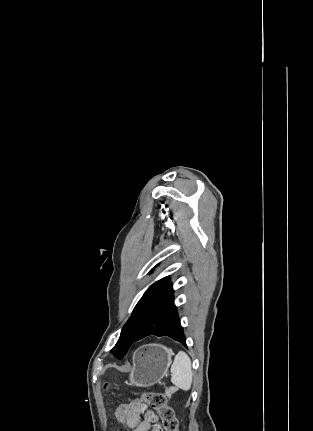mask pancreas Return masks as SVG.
<instances>
[{
	"mask_svg": "<svg viewBox=\"0 0 313 431\" xmlns=\"http://www.w3.org/2000/svg\"><path fill=\"white\" fill-rule=\"evenodd\" d=\"M176 391V389L175 388H166V390H165V395L167 396V397H170L174 392Z\"/></svg>",
	"mask_w": 313,
	"mask_h": 431,
	"instance_id": "cf45deb5",
	"label": "pancreas"
}]
</instances>
